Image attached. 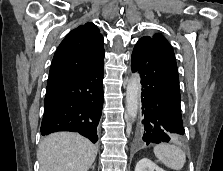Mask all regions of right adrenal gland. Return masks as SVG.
I'll return each instance as SVG.
<instances>
[{
    "mask_svg": "<svg viewBox=\"0 0 223 171\" xmlns=\"http://www.w3.org/2000/svg\"><path fill=\"white\" fill-rule=\"evenodd\" d=\"M94 167H95V165H94V166H92L91 168L94 170Z\"/></svg>",
    "mask_w": 223,
    "mask_h": 171,
    "instance_id": "2a0ac1e0",
    "label": "right adrenal gland"
}]
</instances>
